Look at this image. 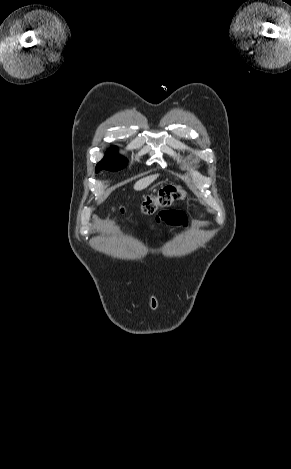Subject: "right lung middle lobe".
<instances>
[{
  "label": "right lung middle lobe",
  "mask_w": 291,
  "mask_h": 469,
  "mask_svg": "<svg viewBox=\"0 0 291 469\" xmlns=\"http://www.w3.org/2000/svg\"><path fill=\"white\" fill-rule=\"evenodd\" d=\"M127 162L123 157L117 156L113 150L106 152L105 157L97 164L96 173L102 169L118 171L126 166Z\"/></svg>",
  "instance_id": "obj_1"
}]
</instances>
